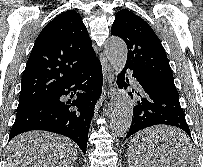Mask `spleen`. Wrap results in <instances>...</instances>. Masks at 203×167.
Segmentation results:
<instances>
[{
	"instance_id": "3e777b00",
	"label": "spleen",
	"mask_w": 203,
	"mask_h": 167,
	"mask_svg": "<svg viewBox=\"0 0 203 167\" xmlns=\"http://www.w3.org/2000/svg\"><path fill=\"white\" fill-rule=\"evenodd\" d=\"M188 141V138L184 140ZM152 148L156 149L155 145H152ZM137 150V151H136ZM129 163L130 167H170V164H163L158 160L157 154L152 152L147 148H142L137 144L133 143L129 147ZM136 153V155H135ZM189 160L183 162V164L179 165L180 167H196L197 161L195 155L192 151L188 154Z\"/></svg>"
}]
</instances>
